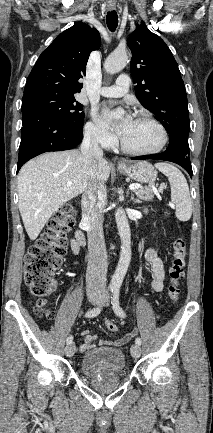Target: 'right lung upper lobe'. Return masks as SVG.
<instances>
[{"instance_id":"right-lung-upper-lobe-1","label":"right lung upper lobe","mask_w":213,"mask_h":433,"mask_svg":"<svg viewBox=\"0 0 213 433\" xmlns=\"http://www.w3.org/2000/svg\"><path fill=\"white\" fill-rule=\"evenodd\" d=\"M100 34L85 23H76L62 32L42 52L28 76L24 95L51 92L74 95L83 85L78 82L85 75L92 50H98Z\"/></svg>"}]
</instances>
